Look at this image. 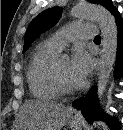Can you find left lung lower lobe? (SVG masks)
<instances>
[{"mask_svg":"<svg viewBox=\"0 0 123 130\" xmlns=\"http://www.w3.org/2000/svg\"><path fill=\"white\" fill-rule=\"evenodd\" d=\"M113 16L116 21L118 29V47H117V59L115 65V76H123V19L120 16V13L116 9L113 11ZM73 106L81 110L83 116L87 119L89 123H92L94 120H103L105 121L112 129H117V123L114 118L105 114L98 106L97 99V88L96 86L92 87L86 97L76 100L73 102Z\"/></svg>","mask_w":123,"mask_h":130,"instance_id":"left-lung-lower-lobe-1","label":"left lung lower lobe"}]
</instances>
